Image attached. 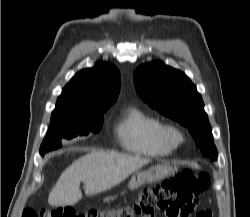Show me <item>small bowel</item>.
<instances>
[{
  "mask_svg": "<svg viewBox=\"0 0 250 217\" xmlns=\"http://www.w3.org/2000/svg\"><path fill=\"white\" fill-rule=\"evenodd\" d=\"M194 210H195V208L191 209V210H190L189 212H187L185 215H187V214L193 212ZM183 217H185V216L183 215Z\"/></svg>",
  "mask_w": 250,
  "mask_h": 217,
  "instance_id": "obj_1",
  "label": "small bowel"
}]
</instances>
